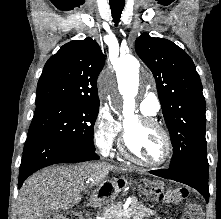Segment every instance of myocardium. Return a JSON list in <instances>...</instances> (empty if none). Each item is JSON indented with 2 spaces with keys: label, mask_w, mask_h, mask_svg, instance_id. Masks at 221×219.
<instances>
[{
  "label": "myocardium",
  "mask_w": 221,
  "mask_h": 219,
  "mask_svg": "<svg viewBox=\"0 0 221 219\" xmlns=\"http://www.w3.org/2000/svg\"><path fill=\"white\" fill-rule=\"evenodd\" d=\"M138 121L145 126H149V127L157 129L162 134L163 139H164V144H165V150H164L163 156L161 157V159L155 162H147L136 157L128 148L127 141H126L125 128H124V132L120 141V153L126 159L145 168L154 169V168L163 167L169 162L173 153V145H172V140H171L169 132L161 123H159L157 120L153 118L140 116L138 117Z\"/></svg>",
  "instance_id": "1"
}]
</instances>
